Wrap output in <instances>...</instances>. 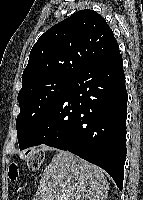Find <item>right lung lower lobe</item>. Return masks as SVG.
I'll use <instances>...</instances> for the list:
<instances>
[{
	"instance_id": "1",
	"label": "right lung lower lobe",
	"mask_w": 143,
	"mask_h": 200,
	"mask_svg": "<svg viewBox=\"0 0 143 200\" xmlns=\"http://www.w3.org/2000/svg\"><path fill=\"white\" fill-rule=\"evenodd\" d=\"M128 95L119 47L75 74L29 136L103 168L120 190L126 160Z\"/></svg>"
}]
</instances>
